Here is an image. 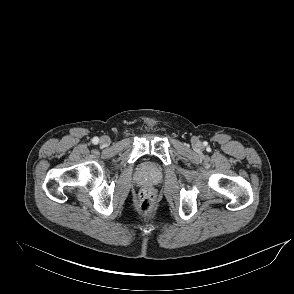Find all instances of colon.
Here are the masks:
<instances>
[{
  "mask_svg": "<svg viewBox=\"0 0 294 294\" xmlns=\"http://www.w3.org/2000/svg\"><path fill=\"white\" fill-rule=\"evenodd\" d=\"M155 193L153 189L146 188L140 193L139 210L142 213H148L154 204Z\"/></svg>",
  "mask_w": 294,
  "mask_h": 294,
  "instance_id": "1",
  "label": "colon"
}]
</instances>
